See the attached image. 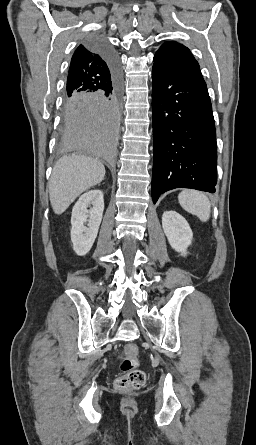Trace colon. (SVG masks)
<instances>
[{"mask_svg": "<svg viewBox=\"0 0 256 445\" xmlns=\"http://www.w3.org/2000/svg\"><path fill=\"white\" fill-rule=\"evenodd\" d=\"M137 347L133 344L125 345L120 358L121 374L115 380V387L120 391H132L143 387L146 374L138 368Z\"/></svg>", "mask_w": 256, "mask_h": 445, "instance_id": "1", "label": "colon"}]
</instances>
